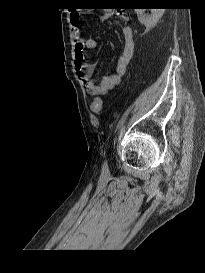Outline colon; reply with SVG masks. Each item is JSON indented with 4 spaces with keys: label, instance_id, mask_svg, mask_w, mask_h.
<instances>
[{
    "label": "colon",
    "instance_id": "colon-1",
    "mask_svg": "<svg viewBox=\"0 0 205 273\" xmlns=\"http://www.w3.org/2000/svg\"><path fill=\"white\" fill-rule=\"evenodd\" d=\"M103 101L100 97L95 98L91 103V109L95 113H99L102 109Z\"/></svg>",
    "mask_w": 205,
    "mask_h": 273
}]
</instances>
